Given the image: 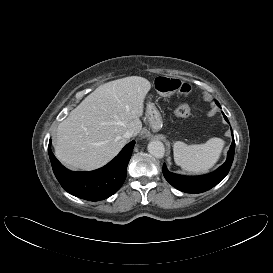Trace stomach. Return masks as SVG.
I'll return each instance as SVG.
<instances>
[{
  "label": "stomach",
  "mask_w": 273,
  "mask_h": 273,
  "mask_svg": "<svg viewBox=\"0 0 273 273\" xmlns=\"http://www.w3.org/2000/svg\"><path fill=\"white\" fill-rule=\"evenodd\" d=\"M173 78L159 75L154 78V88L158 94L167 97L175 93ZM146 117L154 130L162 127V116L154 103L148 102L146 107Z\"/></svg>",
  "instance_id": "0dacf381"
}]
</instances>
